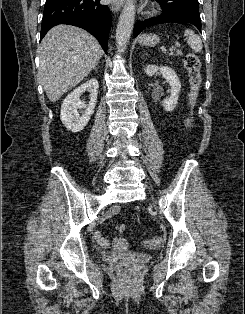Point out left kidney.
<instances>
[{
  "label": "left kidney",
  "mask_w": 245,
  "mask_h": 314,
  "mask_svg": "<svg viewBox=\"0 0 245 314\" xmlns=\"http://www.w3.org/2000/svg\"><path fill=\"white\" fill-rule=\"evenodd\" d=\"M158 70L162 73L163 77L166 79L171 87L170 97L162 102L164 110L167 112H171L175 109L178 103L181 83L175 71L167 66L158 67L156 65H147L144 68V71L148 76H153Z\"/></svg>",
  "instance_id": "1"
}]
</instances>
